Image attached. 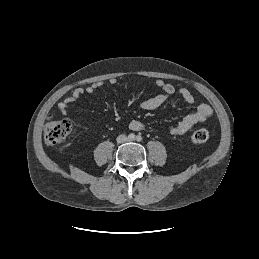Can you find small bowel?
<instances>
[{"label": "small bowel", "instance_id": "small-bowel-1", "mask_svg": "<svg viewBox=\"0 0 259 259\" xmlns=\"http://www.w3.org/2000/svg\"><path fill=\"white\" fill-rule=\"evenodd\" d=\"M109 83L116 84L117 80L115 78H111L109 80ZM102 85H103V82L98 81L90 84L85 88L79 87L74 89L69 96H67L64 100H62L58 104L59 110L63 114H67L70 104L76 102L84 95L93 94L97 89L102 87ZM155 86L158 89H160L161 93L154 95L152 97H149L144 101H142L140 104L142 109L147 111L155 110L160 106H162L170 97H172L176 93L175 87L170 83H166L162 79H157L155 81ZM177 93L185 103L189 105L195 104L196 100L188 89L180 88L177 91ZM212 114H213L212 108L208 104H205V103L197 104L194 110H192L188 115H186L181 121H179L178 123L170 127L169 133L172 136L183 135L187 133L196 124L206 121L208 118L212 116ZM144 127H145L144 123H142L139 120H132L129 123V128L134 131L143 130Z\"/></svg>", "mask_w": 259, "mask_h": 259}]
</instances>
